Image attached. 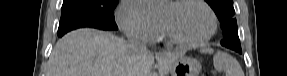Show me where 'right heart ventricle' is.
<instances>
[{"instance_id":"1","label":"right heart ventricle","mask_w":287,"mask_h":76,"mask_svg":"<svg viewBox=\"0 0 287 76\" xmlns=\"http://www.w3.org/2000/svg\"><path fill=\"white\" fill-rule=\"evenodd\" d=\"M163 37V31H162V27L160 25V30H159V34L158 37L156 39L162 38Z\"/></svg>"}]
</instances>
